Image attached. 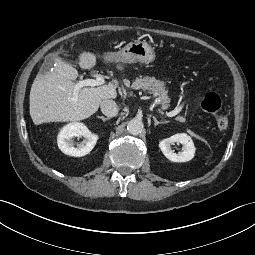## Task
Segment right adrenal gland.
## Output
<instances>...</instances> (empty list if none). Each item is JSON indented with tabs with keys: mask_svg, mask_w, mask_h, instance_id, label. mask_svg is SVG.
Listing matches in <instances>:
<instances>
[{
	"mask_svg": "<svg viewBox=\"0 0 255 255\" xmlns=\"http://www.w3.org/2000/svg\"><path fill=\"white\" fill-rule=\"evenodd\" d=\"M98 118L101 119L103 122H105V121H107V120L110 119V118H105V117H103V116H98Z\"/></svg>",
	"mask_w": 255,
	"mask_h": 255,
	"instance_id": "obj_1",
	"label": "right adrenal gland"
}]
</instances>
